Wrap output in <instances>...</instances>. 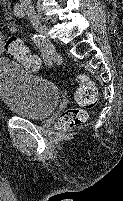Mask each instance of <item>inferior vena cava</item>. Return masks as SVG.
Segmentation results:
<instances>
[{"label": "inferior vena cava", "mask_w": 123, "mask_h": 201, "mask_svg": "<svg viewBox=\"0 0 123 201\" xmlns=\"http://www.w3.org/2000/svg\"><path fill=\"white\" fill-rule=\"evenodd\" d=\"M20 2L25 6H32L31 0H20Z\"/></svg>", "instance_id": "602c4592"}]
</instances>
